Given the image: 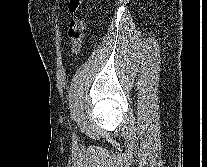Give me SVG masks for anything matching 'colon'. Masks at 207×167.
Masks as SVG:
<instances>
[{
    "label": "colon",
    "instance_id": "5ec220e1",
    "mask_svg": "<svg viewBox=\"0 0 207 167\" xmlns=\"http://www.w3.org/2000/svg\"><path fill=\"white\" fill-rule=\"evenodd\" d=\"M82 3L83 0H70V11L76 14L79 13ZM83 29L84 24L80 17L73 19L67 28V36L71 43V54L74 56L80 52Z\"/></svg>",
    "mask_w": 207,
    "mask_h": 167
}]
</instances>
